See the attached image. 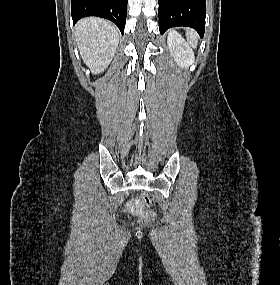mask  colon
I'll list each match as a JSON object with an SVG mask.
<instances>
[{
    "label": "colon",
    "instance_id": "5ec220e1",
    "mask_svg": "<svg viewBox=\"0 0 280 285\" xmlns=\"http://www.w3.org/2000/svg\"><path fill=\"white\" fill-rule=\"evenodd\" d=\"M139 202L142 208L146 210L145 215L148 222H152L155 219V214L151 211L152 199L149 194L143 193L139 197Z\"/></svg>",
    "mask_w": 280,
    "mask_h": 285
}]
</instances>
